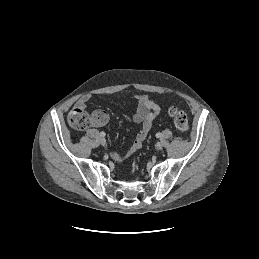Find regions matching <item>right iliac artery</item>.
Returning a JSON list of instances; mask_svg holds the SVG:
<instances>
[{
	"instance_id": "obj_1",
	"label": "right iliac artery",
	"mask_w": 259,
	"mask_h": 259,
	"mask_svg": "<svg viewBox=\"0 0 259 259\" xmlns=\"http://www.w3.org/2000/svg\"><path fill=\"white\" fill-rule=\"evenodd\" d=\"M105 135H106L105 132L100 133V136H102V137H104Z\"/></svg>"
}]
</instances>
